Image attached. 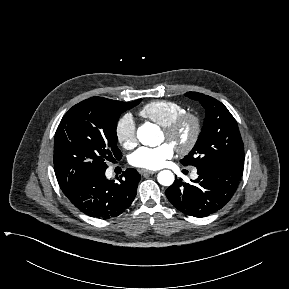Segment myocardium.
<instances>
[{
    "instance_id": "f54148a6",
    "label": "myocardium",
    "mask_w": 289,
    "mask_h": 289,
    "mask_svg": "<svg viewBox=\"0 0 289 289\" xmlns=\"http://www.w3.org/2000/svg\"><path fill=\"white\" fill-rule=\"evenodd\" d=\"M186 123L192 125V133L186 143L175 147L176 151L181 155L190 153L198 143L202 132V121L200 117L195 113L185 111L162 129L163 133L169 139H172Z\"/></svg>"
}]
</instances>
